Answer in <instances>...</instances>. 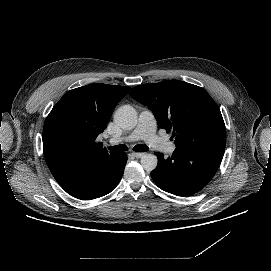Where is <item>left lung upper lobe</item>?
Segmentation results:
<instances>
[{"mask_svg": "<svg viewBox=\"0 0 271 271\" xmlns=\"http://www.w3.org/2000/svg\"><path fill=\"white\" fill-rule=\"evenodd\" d=\"M130 95L152 110L160 128L173 130L176 147L225 150L226 129L221 112L203 88L166 80L136 86Z\"/></svg>", "mask_w": 271, "mask_h": 271, "instance_id": "1", "label": "left lung upper lobe"}]
</instances>
